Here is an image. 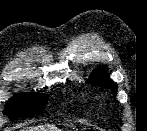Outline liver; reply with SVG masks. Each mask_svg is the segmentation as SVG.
<instances>
[{
    "instance_id": "1",
    "label": "liver",
    "mask_w": 147,
    "mask_h": 131,
    "mask_svg": "<svg viewBox=\"0 0 147 131\" xmlns=\"http://www.w3.org/2000/svg\"><path fill=\"white\" fill-rule=\"evenodd\" d=\"M25 131H61L53 124L38 125L26 128Z\"/></svg>"
}]
</instances>
